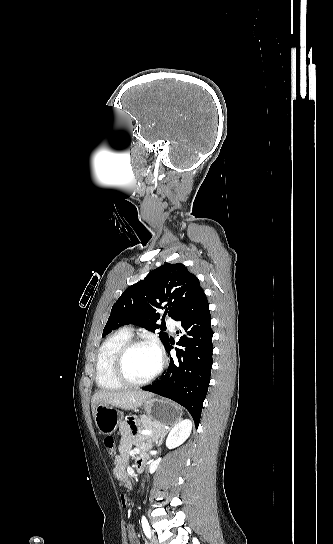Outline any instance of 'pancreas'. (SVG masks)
I'll use <instances>...</instances> for the list:
<instances>
[{"mask_svg":"<svg viewBox=\"0 0 333 544\" xmlns=\"http://www.w3.org/2000/svg\"><path fill=\"white\" fill-rule=\"evenodd\" d=\"M138 425H139V430L140 431L141 430H150L153 433L151 435L141 436L140 440L145 439V438H154L155 434L165 431V428H164V426L162 424L154 421L149 416H141L140 419L138 420Z\"/></svg>","mask_w":333,"mask_h":544,"instance_id":"cf45deb5","label":"pancreas"}]
</instances>
